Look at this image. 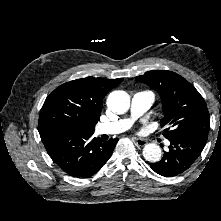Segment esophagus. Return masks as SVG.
Masks as SVG:
<instances>
[{
  "label": "esophagus",
  "mask_w": 221,
  "mask_h": 221,
  "mask_svg": "<svg viewBox=\"0 0 221 221\" xmlns=\"http://www.w3.org/2000/svg\"><path fill=\"white\" fill-rule=\"evenodd\" d=\"M133 141L135 142V144H136L137 146H140V147L146 145V143H147L146 140L141 139V138H133Z\"/></svg>",
  "instance_id": "obj_1"
}]
</instances>
